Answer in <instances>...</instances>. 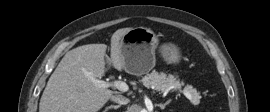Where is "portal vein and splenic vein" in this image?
Wrapping results in <instances>:
<instances>
[{
  "mask_svg": "<svg viewBox=\"0 0 270 112\" xmlns=\"http://www.w3.org/2000/svg\"><path fill=\"white\" fill-rule=\"evenodd\" d=\"M93 82L97 87H100V88L113 87L122 92H126L129 90L128 85L125 82L119 81V80H115L113 82H105L103 80L93 79ZM180 92L184 94L188 99H191V94L188 91L180 90Z\"/></svg>",
  "mask_w": 270,
  "mask_h": 112,
  "instance_id": "portal-vein-and-splenic-vein-1",
  "label": "portal vein and splenic vein"
}]
</instances>
